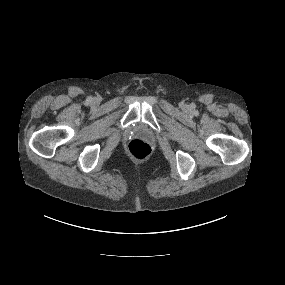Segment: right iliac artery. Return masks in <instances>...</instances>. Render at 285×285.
Segmentation results:
<instances>
[{
	"mask_svg": "<svg viewBox=\"0 0 285 285\" xmlns=\"http://www.w3.org/2000/svg\"><path fill=\"white\" fill-rule=\"evenodd\" d=\"M91 101H92L91 97L87 98V100H86L87 104H89Z\"/></svg>",
	"mask_w": 285,
	"mask_h": 285,
	"instance_id": "82829eb1",
	"label": "right iliac artery"
}]
</instances>
